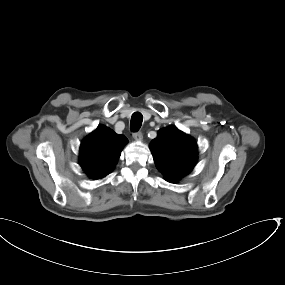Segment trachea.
Here are the masks:
<instances>
[{"instance_id": "obj_1", "label": "trachea", "mask_w": 285, "mask_h": 285, "mask_svg": "<svg viewBox=\"0 0 285 285\" xmlns=\"http://www.w3.org/2000/svg\"><path fill=\"white\" fill-rule=\"evenodd\" d=\"M143 117L142 114L139 112H136L131 117V125L130 128L133 132H136L140 129L142 125Z\"/></svg>"}]
</instances>
